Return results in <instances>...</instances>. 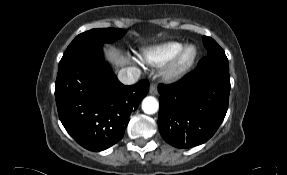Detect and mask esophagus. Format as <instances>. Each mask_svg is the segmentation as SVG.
Listing matches in <instances>:
<instances>
[{"mask_svg": "<svg viewBox=\"0 0 287 175\" xmlns=\"http://www.w3.org/2000/svg\"><path fill=\"white\" fill-rule=\"evenodd\" d=\"M149 93H150L151 95H157L158 89H157V84H156V83H152V84L150 85Z\"/></svg>", "mask_w": 287, "mask_h": 175, "instance_id": "obj_1", "label": "esophagus"}]
</instances>
